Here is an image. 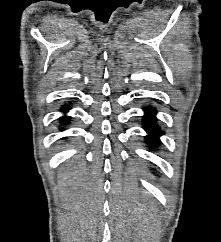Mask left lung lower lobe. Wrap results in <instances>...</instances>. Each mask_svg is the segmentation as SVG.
Wrapping results in <instances>:
<instances>
[{
	"mask_svg": "<svg viewBox=\"0 0 221 242\" xmlns=\"http://www.w3.org/2000/svg\"><path fill=\"white\" fill-rule=\"evenodd\" d=\"M144 110L146 112V115L144 116V122L147 123L144 129L150 134L147 136V138L150 137V144L152 146H156L159 143L158 135L162 134L160 130L153 124V118L156 111L152 108H145Z\"/></svg>",
	"mask_w": 221,
	"mask_h": 242,
	"instance_id": "obj_1",
	"label": "left lung lower lobe"
}]
</instances>
